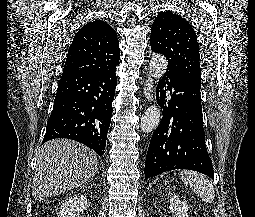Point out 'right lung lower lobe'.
Instances as JSON below:
<instances>
[{"instance_id": "right-lung-lower-lobe-1", "label": "right lung lower lobe", "mask_w": 255, "mask_h": 217, "mask_svg": "<svg viewBox=\"0 0 255 217\" xmlns=\"http://www.w3.org/2000/svg\"><path fill=\"white\" fill-rule=\"evenodd\" d=\"M115 70L107 73L62 74L42 143L68 138L104 154L113 112Z\"/></svg>"}]
</instances>
